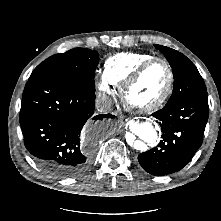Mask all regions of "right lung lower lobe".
Returning <instances> with one entry per match:
<instances>
[{"instance_id":"obj_1","label":"right lung lower lobe","mask_w":221,"mask_h":221,"mask_svg":"<svg viewBox=\"0 0 221 221\" xmlns=\"http://www.w3.org/2000/svg\"><path fill=\"white\" fill-rule=\"evenodd\" d=\"M94 100L95 92L50 75L29 78L22 96L20 125L27 150L46 172L68 178L87 169L93 144L82 147L81 130L90 124L95 136L112 116L96 115Z\"/></svg>"}]
</instances>
